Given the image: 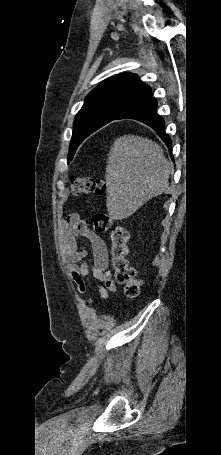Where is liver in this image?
Segmentation results:
<instances>
[{
	"mask_svg": "<svg viewBox=\"0 0 221 455\" xmlns=\"http://www.w3.org/2000/svg\"><path fill=\"white\" fill-rule=\"evenodd\" d=\"M171 163L160 145L135 135L117 138L110 148L105 180L110 218L122 220L169 188Z\"/></svg>",
	"mask_w": 221,
	"mask_h": 455,
	"instance_id": "obj_1",
	"label": "liver"
}]
</instances>
